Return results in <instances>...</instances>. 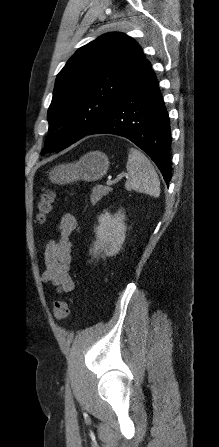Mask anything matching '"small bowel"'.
<instances>
[{"label":"small bowel","mask_w":219,"mask_h":447,"mask_svg":"<svg viewBox=\"0 0 219 447\" xmlns=\"http://www.w3.org/2000/svg\"><path fill=\"white\" fill-rule=\"evenodd\" d=\"M76 225V218L72 213L63 214L57 225V239L46 246L44 254L45 269L42 279L46 283L53 284L63 293L71 292L74 289L69 268L73 250L71 234Z\"/></svg>","instance_id":"small-bowel-1"}]
</instances>
